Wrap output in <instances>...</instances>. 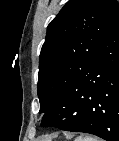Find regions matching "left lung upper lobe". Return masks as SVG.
I'll list each match as a JSON object with an SVG mask.
<instances>
[{
    "label": "left lung upper lobe",
    "instance_id": "1",
    "mask_svg": "<svg viewBox=\"0 0 119 141\" xmlns=\"http://www.w3.org/2000/svg\"><path fill=\"white\" fill-rule=\"evenodd\" d=\"M117 15L116 0H69L51 21L39 57L40 113L84 71Z\"/></svg>",
    "mask_w": 119,
    "mask_h": 141
}]
</instances>
